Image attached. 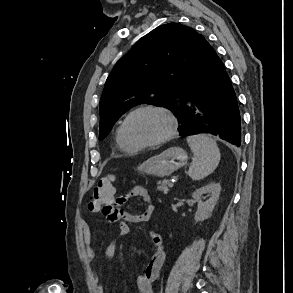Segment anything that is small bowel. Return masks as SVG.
Masks as SVG:
<instances>
[{
    "instance_id": "small-bowel-1",
    "label": "small bowel",
    "mask_w": 293,
    "mask_h": 293,
    "mask_svg": "<svg viewBox=\"0 0 293 293\" xmlns=\"http://www.w3.org/2000/svg\"><path fill=\"white\" fill-rule=\"evenodd\" d=\"M129 198H141L146 202L145 210L140 214H132L120 209L119 204L124 203ZM155 211V206L151 202V197L148 190L143 186L134 187L127 195L120 199H113V203L102 210L105 218L112 223H119V234L105 247L104 254L107 258H112L116 254L117 242L120 238L126 236L130 232L131 223H150L152 215ZM83 241L85 246V259L88 264H91L95 252L91 246L92 235L87 223L82 224ZM150 238L156 246V251L151 261L144 267L141 275L137 279V286L139 293H156L154 284L159 279L161 271L165 262V251L163 247L162 236L154 231L150 230ZM92 281L95 284L96 289L100 293H104L105 289L99 284L98 275L92 276Z\"/></svg>"
}]
</instances>
